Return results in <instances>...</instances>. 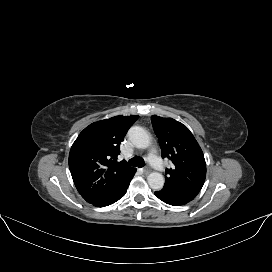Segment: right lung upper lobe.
<instances>
[{
  "label": "right lung upper lobe",
  "mask_w": 272,
  "mask_h": 272,
  "mask_svg": "<svg viewBox=\"0 0 272 272\" xmlns=\"http://www.w3.org/2000/svg\"><path fill=\"white\" fill-rule=\"evenodd\" d=\"M139 116H115L86 127L73 143L69 169L80 195L93 203L114 191L136 169L117 162L119 146Z\"/></svg>",
  "instance_id": "right-lung-upper-lobe-1"
}]
</instances>
